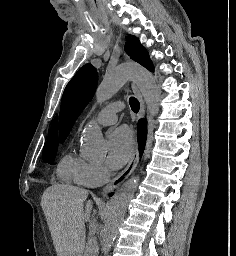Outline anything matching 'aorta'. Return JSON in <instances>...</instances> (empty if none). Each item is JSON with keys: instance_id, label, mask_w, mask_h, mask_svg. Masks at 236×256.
Listing matches in <instances>:
<instances>
[{"instance_id": "obj_1", "label": "aorta", "mask_w": 236, "mask_h": 256, "mask_svg": "<svg viewBox=\"0 0 236 256\" xmlns=\"http://www.w3.org/2000/svg\"><path fill=\"white\" fill-rule=\"evenodd\" d=\"M129 79L133 80L141 91L150 115L152 117L158 115L160 111V92L156 81L149 71L134 64H124L107 73L96 89V102L101 104L111 98ZM83 141L94 151H103L101 130L98 125L95 124V121H91L85 128ZM138 182V176L130 178L110 200L105 225L102 230V253L104 256L109 254L117 235L120 222L125 215L129 201L137 189Z\"/></svg>"}]
</instances>
